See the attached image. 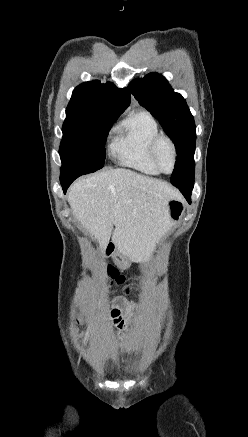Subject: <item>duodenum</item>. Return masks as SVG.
<instances>
[{
    "instance_id": "1",
    "label": "duodenum",
    "mask_w": 248,
    "mask_h": 437,
    "mask_svg": "<svg viewBox=\"0 0 248 437\" xmlns=\"http://www.w3.org/2000/svg\"><path fill=\"white\" fill-rule=\"evenodd\" d=\"M116 247L113 244H110L106 250H104V255L107 257H111L114 254Z\"/></svg>"
}]
</instances>
